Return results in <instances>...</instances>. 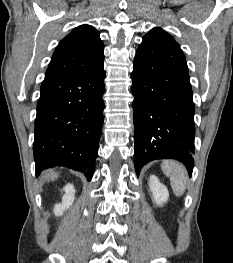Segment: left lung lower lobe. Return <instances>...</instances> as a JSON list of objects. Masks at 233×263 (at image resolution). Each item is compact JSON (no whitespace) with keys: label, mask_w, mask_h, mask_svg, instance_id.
I'll list each match as a JSON object with an SVG mask.
<instances>
[{"label":"left lung lower lobe","mask_w":233,"mask_h":263,"mask_svg":"<svg viewBox=\"0 0 233 263\" xmlns=\"http://www.w3.org/2000/svg\"><path fill=\"white\" fill-rule=\"evenodd\" d=\"M135 170L155 159L194 167L193 93L185 56L177 43L143 40L133 65Z\"/></svg>","instance_id":"obj_1"}]
</instances>
